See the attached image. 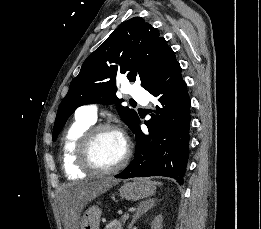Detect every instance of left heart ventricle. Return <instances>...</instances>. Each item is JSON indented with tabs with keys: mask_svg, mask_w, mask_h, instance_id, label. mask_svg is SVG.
<instances>
[{
	"mask_svg": "<svg viewBox=\"0 0 261 229\" xmlns=\"http://www.w3.org/2000/svg\"><path fill=\"white\" fill-rule=\"evenodd\" d=\"M125 149V141L120 134L111 131L103 132L94 144L93 158L100 166L110 168L122 160Z\"/></svg>",
	"mask_w": 261,
	"mask_h": 229,
	"instance_id": "obj_1",
	"label": "left heart ventricle"
}]
</instances>
